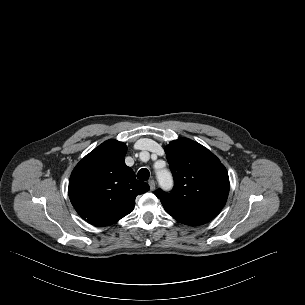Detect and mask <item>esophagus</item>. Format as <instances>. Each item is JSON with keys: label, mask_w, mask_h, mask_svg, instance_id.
I'll list each match as a JSON object with an SVG mask.
<instances>
[{"label": "esophagus", "mask_w": 305, "mask_h": 305, "mask_svg": "<svg viewBox=\"0 0 305 305\" xmlns=\"http://www.w3.org/2000/svg\"><path fill=\"white\" fill-rule=\"evenodd\" d=\"M148 184L150 186V190L154 191L155 190V181L154 180H149Z\"/></svg>", "instance_id": "obj_1"}]
</instances>
